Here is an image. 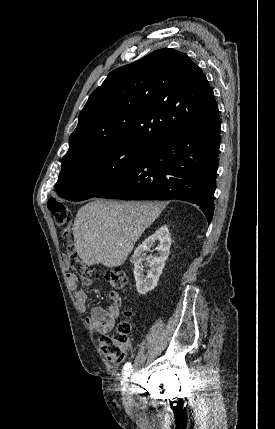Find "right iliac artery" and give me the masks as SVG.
<instances>
[{
  "instance_id": "1",
  "label": "right iliac artery",
  "mask_w": 275,
  "mask_h": 429,
  "mask_svg": "<svg viewBox=\"0 0 275 429\" xmlns=\"http://www.w3.org/2000/svg\"><path fill=\"white\" fill-rule=\"evenodd\" d=\"M132 372V364L130 362L126 363L123 368L124 380L126 381Z\"/></svg>"
}]
</instances>
